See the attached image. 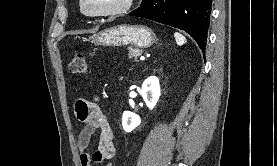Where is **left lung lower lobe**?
I'll use <instances>...</instances> for the list:
<instances>
[{
  "mask_svg": "<svg viewBox=\"0 0 277 166\" xmlns=\"http://www.w3.org/2000/svg\"><path fill=\"white\" fill-rule=\"evenodd\" d=\"M212 0H146L131 16L150 19L189 33L205 50Z\"/></svg>",
  "mask_w": 277,
  "mask_h": 166,
  "instance_id": "0a47b994",
  "label": "left lung lower lobe"
}]
</instances>
